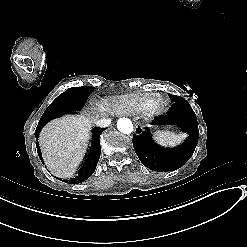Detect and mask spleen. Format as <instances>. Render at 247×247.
I'll list each match as a JSON object with an SVG mask.
<instances>
[{
    "label": "spleen",
    "mask_w": 247,
    "mask_h": 247,
    "mask_svg": "<svg viewBox=\"0 0 247 247\" xmlns=\"http://www.w3.org/2000/svg\"><path fill=\"white\" fill-rule=\"evenodd\" d=\"M187 133L175 134L170 131H159L154 135V140L161 146L175 147L181 144L186 138Z\"/></svg>",
    "instance_id": "3e777b00"
}]
</instances>
